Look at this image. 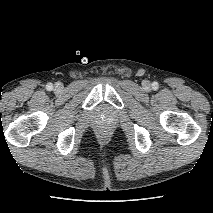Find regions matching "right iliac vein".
<instances>
[{
  "instance_id": "63e3f726",
  "label": "right iliac vein",
  "mask_w": 213,
  "mask_h": 213,
  "mask_svg": "<svg viewBox=\"0 0 213 213\" xmlns=\"http://www.w3.org/2000/svg\"><path fill=\"white\" fill-rule=\"evenodd\" d=\"M62 84L61 83H57L56 85H55V91L56 92H60L61 90H62Z\"/></svg>"
}]
</instances>
